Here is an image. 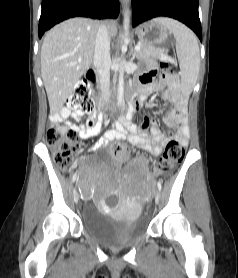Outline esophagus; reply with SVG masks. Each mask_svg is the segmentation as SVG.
<instances>
[{"mask_svg": "<svg viewBox=\"0 0 238 278\" xmlns=\"http://www.w3.org/2000/svg\"><path fill=\"white\" fill-rule=\"evenodd\" d=\"M120 1H121L122 4H125V1H126V0H120Z\"/></svg>", "mask_w": 238, "mask_h": 278, "instance_id": "1", "label": "esophagus"}]
</instances>
